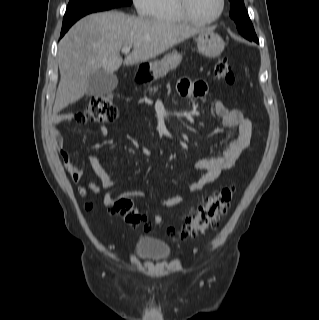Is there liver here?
<instances>
[{"label":"liver","mask_w":319,"mask_h":320,"mask_svg":"<svg viewBox=\"0 0 319 320\" xmlns=\"http://www.w3.org/2000/svg\"><path fill=\"white\" fill-rule=\"evenodd\" d=\"M204 30L110 11L88 15L75 23L58 45L60 82L53 113L80 100L90 75L104 69L117 71L154 59L174 45ZM133 50L124 61L121 48Z\"/></svg>","instance_id":"6515ba94"}]
</instances>
